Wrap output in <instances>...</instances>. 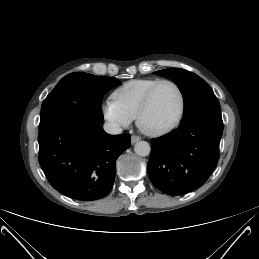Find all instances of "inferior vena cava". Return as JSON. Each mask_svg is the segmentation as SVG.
Here are the masks:
<instances>
[{
  "label": "inferior vena cava",
  "mask_w": 259,
  "mask_h": 259,
  "mask_svg": "<svg viewBox=\"0 0 259 259\" xmlns=\"http://www.w3.org/2000/svg\"><path fill=\"white\" fill-rule=\"evenodd\" d=\"M103 128H104L105 132L108 134L122 133V128L116 122H105Z\"/></svg>",
  "instance_id": "602c4592"
}]
</instances>
